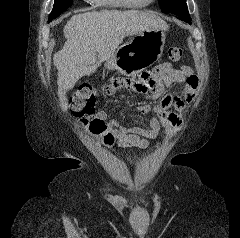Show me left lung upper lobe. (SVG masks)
<instances>
[{"instance_id":"5c2ea615","label":"left lung upper lobe","mask_w":240,"mask_h":238,"mask_svg":"<svg viewBox=\"0 0 240 238\" xmlns=\"http://www.w3.org/2000/svg\"><path fill=\"white\" fill-rule=\"evenodd\" d=\"M163 11L173 13L180 19L191 20L186 0H159Z\"/></svg>"}]
</instances>
